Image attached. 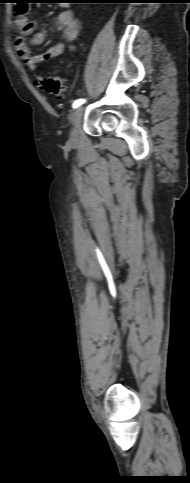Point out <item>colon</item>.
<instances>
[{"mask_svg": "<svg viewBox=\"0 0 190 483\" xmlns=\"http://www.w3.org/2000/svg\"><path fill=\"white\" fill-rule=\"evenodd\" d=\"M24 6L25 5H22L18 10L23 11ZM36 84L46 92L56 96H62L67 90V83L65 79L57 75L44 74L37 76Z\"/></svg>", "mask_w": 190, "mask_h": 483, "instance_id": "1", "label": "colon"}]
</instances>
